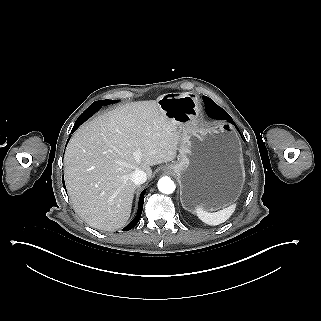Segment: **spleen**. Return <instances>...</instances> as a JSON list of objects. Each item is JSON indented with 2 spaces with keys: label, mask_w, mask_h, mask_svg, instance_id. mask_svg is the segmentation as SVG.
Returning <instances> with one entry per match:
<instances>
[{
  "label": "spleen",
  "mask_w": 321,
  "mask_h": 321,
  "mask_svg": "<svg viewBox=\"0 0 321 321\" xmlns=\"http://www.w3.org/2000/svg\"><path fill=\"white\" fill-rule=\"evenodd\" d=\"M236 205L232 204L231 206L224 208L218 212L209 213L200 208L196 210L198 218L208 224V225H218L225 222L235 211Z\"/></svg>",
  "instance_id": "spleen-1"
}]
</instances>
